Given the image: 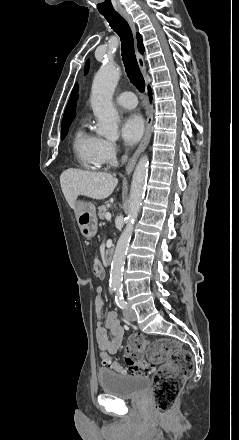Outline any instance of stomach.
Masks as SVG:
<instances>
[{
  "instance_id": "obj_1",
  "label": "stomach",
  "mask_w": 239,
  "mask_h": 440,
  "mask_svg": "<svg viewBox=\"0 0 239 440\" xmlns=\"http://www.w3.org/2000/svg\"><path fill=\"white\" fill-rule=\"evenodd\" d=\"M74 212L82 236L87 238V240L94 238L98 230V220L94 204L85 202V200H78L75 204Z\"/></svg>"
}]
</instances>
